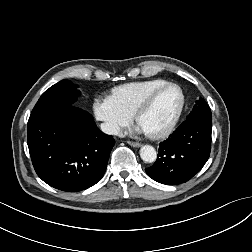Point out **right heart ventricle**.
<instances>
[{
  "label": "right heart ventricle",
  "instance_id": "obj_1",
  "mask_svg": "<svg viewBox=\"0 0 252 252\" xmlns=\"http://www.w3.org/2000/svg\"><path fill=\"white\" fill-rule=\"evenodd\" d=\"M168 82L165 79L156 78L144 81L126 83L115 87L111 91L114 101L127 112L134 114L137 106L154 88Z\"/></svg>",
  "mask_w": 252,
  "mask_h": 252
}]
</instances>
